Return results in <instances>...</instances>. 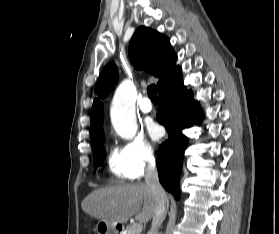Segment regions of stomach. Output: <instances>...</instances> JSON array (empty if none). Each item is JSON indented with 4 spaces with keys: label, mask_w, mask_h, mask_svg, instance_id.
Segmentation results:
<instances>
[{
    "label": "stomach",
    "mask_w": 279,
    "mask_h": 234,
    "mask_svg": "<svg viewBox=\"0 0 279 234\" xmlns=\"http://www.w3.org/2000/svg\"><path fill=\"white\" fill-rule=\"evenodd\" d=\"M97 234H121L120 223L100 220L96 225Z\"/></svg>",
    "instance_id": "1"
}]
</instances>
